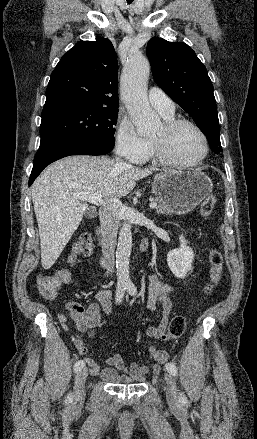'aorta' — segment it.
<instances>
[{
    "label": "aorta",
    "instance_id": "1",
    "mask_svg": "<svg viewBox=\"0 0 257 439\" xmlns=\"http://www.w3.org/2000/svg\"><path fill=\"white\" fill-rule=\"evenodd\" d=\"M150 65L140 53H131L121 75V97L129 112L138 134L148 135L154 132L160 118L152 110L147 99V83ZM131 224L124 222L119 232L116 250V269L118 282L130 285L129 261L132 251Z\"/></svg>",
    "mask_w": 257,
    "mask_h": 439
}]
</instances>
